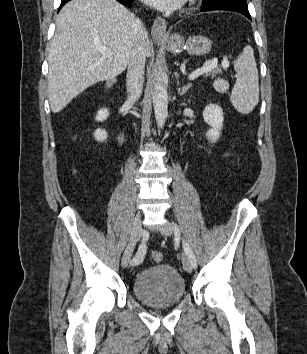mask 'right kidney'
<instances>
[{"label": "right kidney", "mask_w": 307, "mask_h": 354, "mask_svg": "<svg viewBox=\"0 0 307 354\" xmlns=\"http://www.w3.org/2000/svg\"><path fill=\"white\" fill-rule=\"evenodd\" d=\"M109 116V111L108 109L106 108H102L100 109L98 112H97V115L95 117L96 121L98 122H102L104 120L107 119V117ZM94 137L97 141L99 142H103V141H106L107 137H108V134L105 130L103 129H97L95 132H94Z\"/></svg>", "instance_id": "right-kidney-1"}]
</instances>
